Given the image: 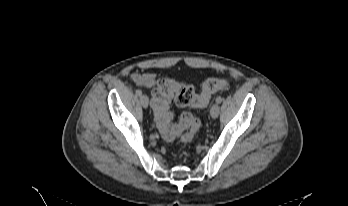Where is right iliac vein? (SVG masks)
Segmentation results:
<instances>
[{"label":"right iliac vein","instance_id":"63e3f726","mask_svg":"<svg viewBox=\"0 0 348 206\" xmlns=\"http://www.w3.org/2000/svg\"><path fill=\"white\" fill-rule=\"evenodd\" d=\"M140 102L142 104V106L146 109L148 108V105H149V99H148V96L143 94L140 96Z\"/></svg>","mask_w":348,"mask_h":206}]
</instances>
